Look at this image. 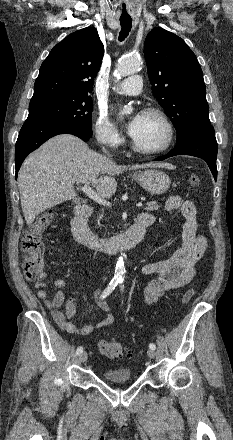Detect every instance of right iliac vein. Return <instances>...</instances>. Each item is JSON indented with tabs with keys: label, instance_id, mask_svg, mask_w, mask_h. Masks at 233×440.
Returning <instances> with one entry per match:
<instances>
[{
	"label": "right iliac vein",
	"instance_id": "1",
	"mask_svg": "<svg viewBox=\"0 0 233 440\" xmlns=\"http://www.w3.org/2000/svg\"><path fill=\"white\" fill-rule=\"evenodd\" d=\"M87 357H88V355H87V352H82L81 354H80V356H79V361L81 362V363H84L86 360H87Z\"/></svg>",
	"mask_w": 233,
	"mask_h": 440
}]
</instances>
